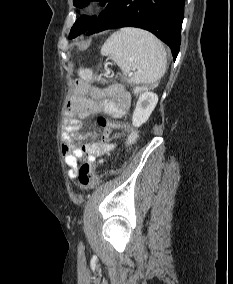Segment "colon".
<instances>
[{"label": "colon", "instance_id": "5ec220e1", "mask_svg": "<svg viewBox=\"0 0 233 284\" xmlns=\"http://www.w3.org/2000/svg\"><path fill=\"white\" fill-rule=\"evenodd\" d=\"M80 76L85 80H91L92 79V73L87 69H81L80 70ZM158 84V82H154L151 84L150 87H155ZM149 87V88H150ZM144 90L143 87H137L135 89V93L139 94ZM97 122L100 127L105 128L109 126L107 120L103 116H99L97 119ZM138 137V132L134 128H130L129 134L127 137V144L132 145L135 143L136 139ZM99 184V178L96 175L94 168L91 163L85 162L83 163L78 171V185L79 188L82 190H91L97 187Z\"/></svg>", "mask_w": 233, "mask_h": 284}]
</instances>
